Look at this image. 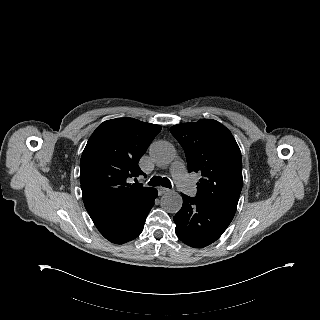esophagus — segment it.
<instances>
[{
  "instance_id": "esophagus-1",
  "label": "esophagus",
  "mask_w": 320,
  "mask_h": 320,
  "mask_svg": "<svg viewBox=\"0 0 320 320\" xmlns=\"http://www.w3.org/2000/svg\"><path fill=\"white\" fill-rule=\"evenodd\" d=\"M170 191H171V190H170L169 188H166V187H159V188H158L159 195L168 193V192H170Z\"/></svg>"
}]
</instances>
